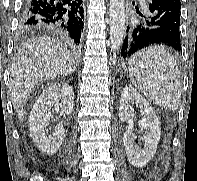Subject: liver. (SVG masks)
<instances>
[{"instance_id":"obj_1","label":"liver","mask_w":197,"mask_h":181,"mask_svg":"<svg viewBox=\"0 0 197 181\" xmlns=\"http://www.w3.org/2000/svg\"><path fill=\"white\" fill-rule=\"evenodd\" d=\"M76 70L67 48L50 37L29 39L21 45L10 68L9 90L14 110L23 121L22 106L41 81L72 74Z\"/></svg>"}]
</instances>
